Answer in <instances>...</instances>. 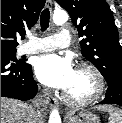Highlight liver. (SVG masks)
I'll list each match as a JSON object with an SVG mask.
<instances>
[{
	"mask_svg": "<svg viewBox=\"0 0 122 123\" xmlns=\"http://www.w3.org/2000/svg\"><path fill=\"white\" fill-rule=\"evenodd\" d=\"M35 109L28 103L1 98V123H41Z\"/></svg>",
	"mask_w": 122,
	"mask_h": 123,
	"instance_id": "liver-1",
	"label": "liver"
}]
</instances>
